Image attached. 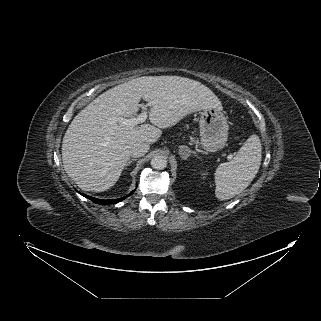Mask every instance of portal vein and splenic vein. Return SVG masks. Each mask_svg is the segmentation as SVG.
Segmentation results:
<instances>
[{
    "instance_id": "18ae733b",
    "label": "portal vein and splenic vein",
    "mask_w": 321,
    "mask_h": 321,
    "mask_svg": "<svg viewBox=\"0 0 321 321\" xmlns=\"http://www.w3.org/2000/svg\"><path fill=\"white\" fill-rule=\"evenodd\" d=\"M152 105H154V102H149L148 104L143 105L142 108H143L144 111L140 115L135 117V118H132L130 120H124V119H119L118 118V119H116V121H122L123 124L136 126L137 124L142 123V122H144L146 120V118H147V111H146L147 108L146 107L147 106H152ZM228 158H231V157H228Z\"/></svg>"
}]
</instances>
